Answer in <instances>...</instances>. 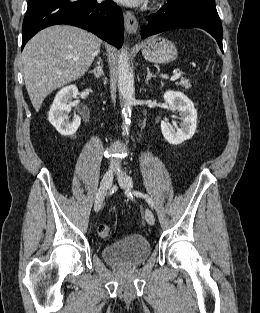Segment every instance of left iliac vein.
Here are the masks:
<instances>
[{"instance_id": "obj_1", "label": "left iliac vein", "mask_w": 260, "mask_h": 313, "mask_svg": "<svg viewBox=\"0 0 260 313\" xmlns=\"http://www.w3.org/2000/svg\"><path fill=\"white\" fill-rule=\"evenodd\" d=\"M118 182L120 184V187L123 190H125V192L127 194H129L131 191V188L133 186V182H132L131 177L129 175L123 173V174L119 175ZM145 219H146L147 223L150 225H153L155 223L154 214L148 208L145 210Z\"/></svg>"}]
</instances>
